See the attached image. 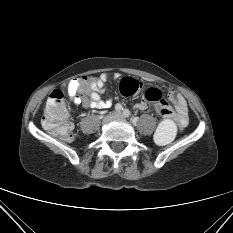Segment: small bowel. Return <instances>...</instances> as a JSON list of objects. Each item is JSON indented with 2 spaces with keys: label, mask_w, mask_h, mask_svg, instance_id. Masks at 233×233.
<instances>
[{
  "label": "small bowel",
  "mask_w": 233,
  "mask_h": 233,
  "mask_svg": "<svg viewBox=\"0 0 233 233\" xmlns=\"http://www.w3.org/2000/svg\"><path fill=\"white\" fill-rule=\"evenodd\" d=\"M118 77V74L115 75ZM86 77L84 79H73L66 86V92L69 100L75 104L82 105L84 108L94 109H107L111 106L109 100H103L100 92L103 91L105 83L108 80L107 74H101L99 77L89 79L90 82L86 83ZM170 101L175 106L176 113H173V118L176 120L180 128H183L188 123L187 115V103L184 97L176 92H172L170 95ZM163 107H169L165 100L155 102V109L159 115ZM136 108L143 111L147 108L145 100L140 101ZM170 108V107H169ZM171 109V108H170ZM172 110V109H171Z\"/></svg>",
  "instance_id": "c3829d8e"
}]
</instances>
